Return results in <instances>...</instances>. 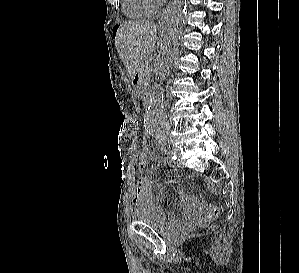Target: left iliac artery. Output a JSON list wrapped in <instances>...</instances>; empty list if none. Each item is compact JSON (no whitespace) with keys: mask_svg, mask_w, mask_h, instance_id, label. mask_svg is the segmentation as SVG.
I'll return each instance as SVG.
<instances>
[{"mask_svg":"<svg viewBox=\"0 0 299 273\" xmlns=\"http://www.w3.org/2000/svg\"><path fill=\"white\" fill-rule=\"evenodd\" d=\"M160 142H165V140H164V139H161ZM169 155H170V157H171L172 159H177L175 152L170 151V152H169Z\"/></svg>","mask_w":299,"mask_h":273,"instance_id":"44dca946","label":"left iliac artery"}]
</instances>
